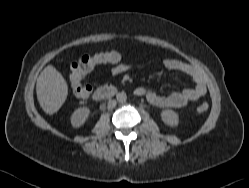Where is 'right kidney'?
I'll return each mask as SVG.
<instances>
[{"label": "right kidney", "mask_w": 249, "mask_h": 188, "mask_svg": "<svg viewBox=\"0 0 249 188\" xmlns=\"http://www.w3.org/2000/svg\"><path fill=\"white\" fill-rule=\"evenodd\" d=\"M90 110L87 107L76 109L71 116V124L73 127H81L88 119Z\"/></svg>", "instance_id": "1"}]
</instances>
